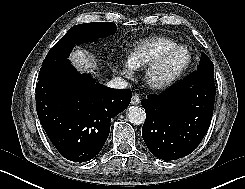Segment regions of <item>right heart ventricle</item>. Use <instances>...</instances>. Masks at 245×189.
<instances>
[{
    "label": "right heart ventricle",
    "mask_w": 245,
    "mask_h": 189,
    "mask_svg": "<svg viewBox=\"0 0 245 189\" xmlns=\"http://www.w3.org/2000/svg\"><path fill=\"white\" fill-rule=\"evenodd\" d=\"M176 42L165 36L143 38L135 42L128 51V62L132 68H139L155 60L165 49Z\"/></svg>",
    "instance_id": "e07e8e85"
}]
</instances>
